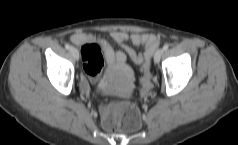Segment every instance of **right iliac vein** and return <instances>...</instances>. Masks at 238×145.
Masks as SVG:
<instances>
[{
    "instance_id": "1",
    "label": "right iliac vein",
    "mask_w": 238,
    "mask_h": 145,
    "mask_svg": "<svg viewBox=\"0 0 238 145\" xmlns=\"http://www.w3.org/2000/svg\"><path fill=\"white\" fill-rule=\"evenodd\" d=\"M70 52L75 60H79V52L75 47H71Z\"/></svg>"
}]
</instances>
